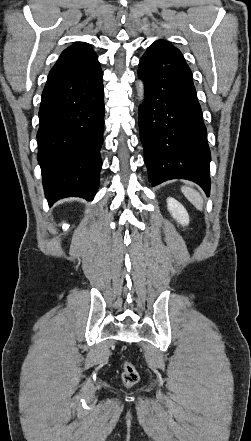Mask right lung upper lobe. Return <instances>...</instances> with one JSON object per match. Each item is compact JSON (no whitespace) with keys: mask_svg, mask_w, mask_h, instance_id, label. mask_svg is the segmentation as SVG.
<instances>
[{"mask_svg":"<svg viewBox=\"0 0 251 441\" xmlns=\"http://www.w3.org/2000/svg\"><path fill=\"white\" fill-rule=\"evenodd\" d=\"M92 47L85 42H76L65 49L50 73L70 74L87 71L100 65Z\"/></svg>","mask_w":251,"mask_h":441,"instance_id":"cb5924a9","label":"right lung upper lobe"}]
</instances>
